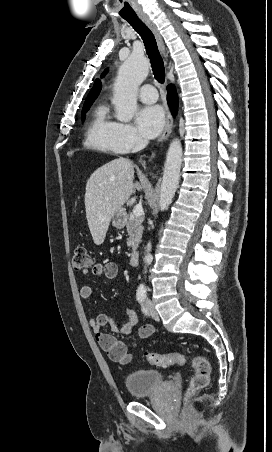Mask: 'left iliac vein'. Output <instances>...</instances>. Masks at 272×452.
I'll list each match as a JSON object with an SVG mask.
<instances>
[{
  "mask_svg": "<svg viewBox=\"0 0 272 452\" xmlns=\"http://www.w3.org/2000/svg\"><path fill=\"white\" fill-rule=\"evenodd\" d=\"M147 308H148V311L150 313V316L153 319L158 320L159 319V315H158L157 311L155 310V308H154V306H153V304L151 302L147 303Z\"/></svg>",
  "mask_w": 272,
  "mask_h": 452,
  "instance_id": "obj_1",
  "label": "left iliac vein"
}]
</instances>
